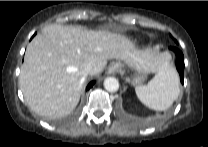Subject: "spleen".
I'll return each instance as SVG.
<instances>
[{
	"label": "spleen",
	"instance_id": "1",
	"mask_svg": "<svg viewBox=\"0 0 208 147\" xmlns=\"http://www.w3.org/2000/svg\"><path fill=\"white\" fill-rule=\"evenodd\" d=\"M135 91L146 107L156 111L166 110L180 94L179 76L167 60L148 84L136 86Z\"/></svg>",
	"mask_w": 208,
	"mask_h": 147
}]
</instances>
